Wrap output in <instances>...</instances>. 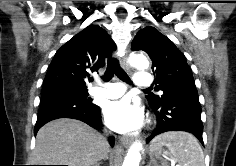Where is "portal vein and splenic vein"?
I'll use <instances>...</instances> for the list:
<instances>
[{
  "label": "portal vein and splenic vein",
  "mask_w": 236,
  "mask_h": 166,
  "mask_svg": "<svg viewBox=\"0 0 236 166\" xmlns=\"http://www.w3.org/2000/svg\"><path fill=\"white\" fill-rule=\"evenodd\" d=\"M176 163V161L175 160H172V164H175Z\"/></svg>",
  "instance_id": "obj_1"
}]
</instances>
